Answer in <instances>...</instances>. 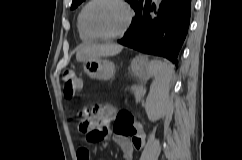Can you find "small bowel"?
I'll list each match as a JSON object with an SVG mask.
<instances>
[{
  "mask_svg": "<svg viewBox=\"0 0 242 160\" xmlns=\"http://www.w3.org/2000/svg\"><path fill=\"white\" fill-rule=\"evenodd\" d=\"M111 113L105 112L97 122L100 130L104 135L108 132V128L104 125L110 121ZM113 141L120 147L123 152L125 160H132L133 153L135 150H140L143 146L145 133L142 128H136L134 133L124 134L114 130L113 127ZM78 160H90V153L87 147L82 146L77 150Z\"/></svg>",
  "mask_w": 242,
  "mask_h": 160,
  "instance_id": "1",
  "label": "small bowel"
}]
</instances>
